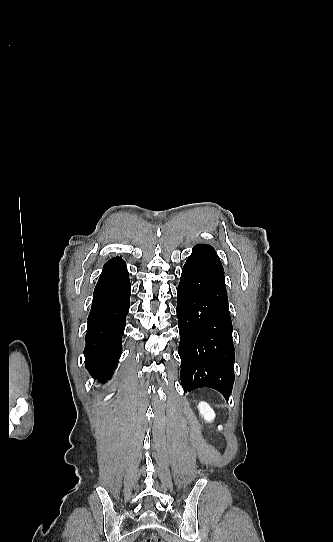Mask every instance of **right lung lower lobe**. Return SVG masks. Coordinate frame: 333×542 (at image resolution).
Instances as JSON below:
<instances>
[{
    "label": "right lung lower lobe",
    "instance_id": "98d812e1",
    "mask_svg": "<svg viewBox=\"0 0 333 542\" xmlns=\"http://www.w3.org/2000/svg\"><path fill=\"white\" fill-rule=\"evenodd\" d=\"M130 289L124 261L109 260L94 290L84 349L88 372L101 382L112 375L121 355Z\"/></svg>",
    "mask_w": 333,
    "mask_h": 542
}]
</instances>
